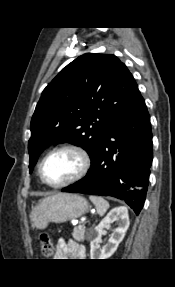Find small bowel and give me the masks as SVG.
<instances>
[{"mask_svg":"<svg viewBox=\"0 0 175 287\" xmlns=\"http://www.w3.org/2000/svg\"><path fill=\"white\" fill-rule=\"evenodd\" d=\"M57 259H66L68 257L75 260H83L86 258V248L75 241H66L60 238L57 242L55 253Z\"/></svg>","mask_w":175,"mask_h":287,"instance_id":"1","label":"small bowel"}]
</instances>
